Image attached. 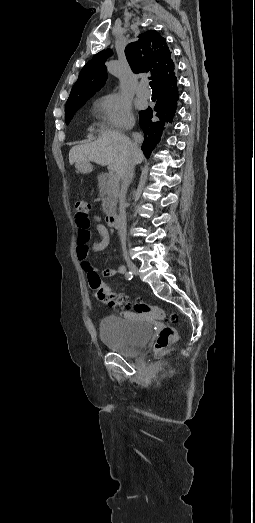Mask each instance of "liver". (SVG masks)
Listing matches in <instances>:
<instances>
[{"label": "liver", "instance_id": "liver-1", "mask_svg": "<svg viewBox=\"0 0 255 523\" xmlns=\"http://www.w3.org/2000/svg\"><path fill=\"white\" fill-rule=\"evenodd\" d=\"M132 142L125 134L115 132V130H103L95 142L82 144V146H73L69 152V162L76 164L77 170L88 168L89 172L92 166L88 162H95L99 166H108V170L121 174L124 168L125 154L128 152ZM135 164H141L144 156L141 150H135Z\"/></svg>", "mask_w": 255, "mask_h": 523}]
</instances>
